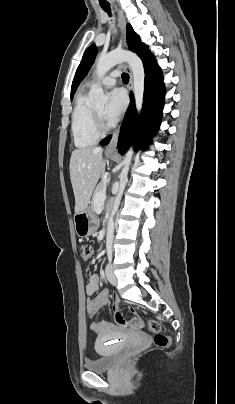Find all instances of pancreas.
Segmentation results:
<instances>
[{
    "mask_svg": "<svg viewBox=\"0 0 235 404\" xmlns=\"http://www.w3.org/2000/svg\"><path fill=\"white\" fill-rule=\"evenodd\" d=\"M106 188H107L106 183H100L99 185H97V187H96V189L94 191V194H93L92 204H91V208H92L93 211L95 210V206H96V201H95L96 194L98 192H100V191H105L106 192Z\"/></svg>",
    "mask_w": 235,
    "mask_h": 404,
    "instance_id": "obj_1",
    "label": "pancreas"
}]
</instances>
